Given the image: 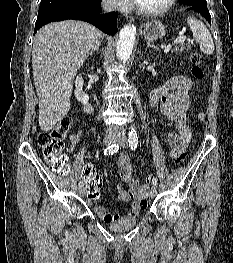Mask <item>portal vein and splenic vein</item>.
I'll use <instances>...</instances> for the list:
<instances>
[{
	"label": "portal vein and splenic vein",
	"instance_id": "obj_1",
	"mask_svg": "<svg viewBox=\"0 0 233 263\" xmlns=\"http://www.w3.org/2000/svg\"><path fill=\"white\" fill-rule=\"evenodd\" d=\"M185 39H186L185 36H183V35H179V37L175 39V41H174L173 44H176V43H183V42L185 41ZM171 47H172L171 44L167 45V46L165 47V49H164V52H165V53H168V52L171 50Z\"/></svg>",
	"mask_w": 233,
	"mask_h": 263
}]
</instances>
